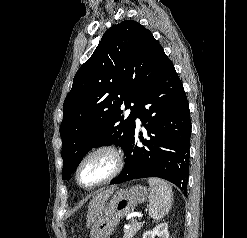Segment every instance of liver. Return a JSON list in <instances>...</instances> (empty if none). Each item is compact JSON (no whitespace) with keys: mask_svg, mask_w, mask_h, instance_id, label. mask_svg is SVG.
I'll list each match as a JSON object with an SVG mask.
<instances>
[{"mask_svg":"<svg viewBox=\"0 0 247 238\" xmlns=\"http://www.w3.org/2000/svg\"><path fill=\"white\" fill-rule=\"evenodd\" d=\"M116 189L115 186L110 187L104 191L98 193L89 203L88 206V213H87V225H91L94 220L98 217L101 213L105 202L110 198L113 194L114 190Z\"/></svg>","mask_w":247,"mask_h":238,"instance_id":"liver-1","label":"liver"}]
</instances>
